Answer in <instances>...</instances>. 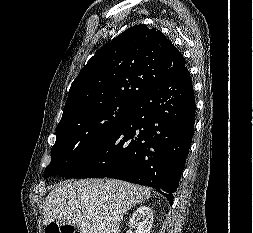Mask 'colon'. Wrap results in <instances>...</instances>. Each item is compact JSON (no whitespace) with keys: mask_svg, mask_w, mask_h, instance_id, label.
I'll return each mask as SVG.
<instances>
[{"mask_svg":"<svg viewBox=\"0 0 253 233\" xmlns=\"http://www.w3.org/2000/svg\"><path fill=\"white\" fill-rule=\"evenodd\" d=\"M45 233H79L72 225L49 224Z\"/></svg>","mask_w":253,"mask_h":233,"instance_id":"colon-1","label":"colon"}]
</instances>
